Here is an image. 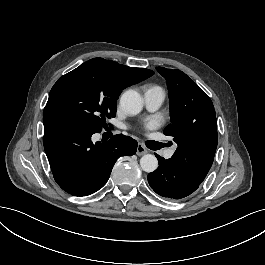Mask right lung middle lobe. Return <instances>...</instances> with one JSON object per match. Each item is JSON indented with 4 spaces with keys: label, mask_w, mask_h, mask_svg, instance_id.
Returning a JSON list of instances; mask_svg holds the SVG:
<instances>
[{
    "label": "right lung middle lobe",
    "mask_w": 265,
    "mask_h": 265,
    "mask_svg": "<svg viewBox=\"0 0 265 265\" xmlns=\"http://www.w3.org/2000/svg\"><path fill=\"white\" fill-rule=\"evenodd\" d=\"M124 88L101 58L91 59L55 83L43 119H63L100 132L107 126L106 118L115 116L116 101Z\"/></svg>",
    "instance_id": "obj_1"
}]
</instances>
